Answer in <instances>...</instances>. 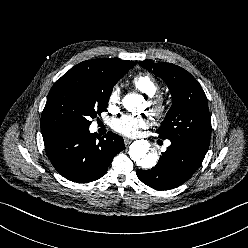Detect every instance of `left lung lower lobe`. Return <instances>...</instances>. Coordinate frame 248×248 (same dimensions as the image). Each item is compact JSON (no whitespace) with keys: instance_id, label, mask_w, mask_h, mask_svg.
Masks as SVG:
<instances>
[{"instance_id":"1","label":"left lung lower lobe","mask_w":248,"mask_h":248,"mask_svg":"<svg viewBox=\"0 0 248 248\" xmlns=\"http://www.w3.org/2000/svg\"><path fill=\"white\" fill-rule=\"evenodd\" d=\"M205 155L171 142L157 165L150 170H137L138 178L151 188L173 189L186 182L201 165Z\"/></svg>"}]
</instances>
